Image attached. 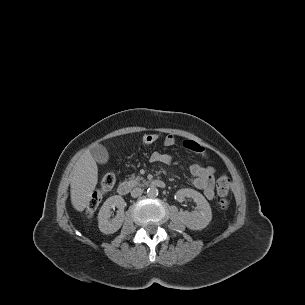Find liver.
<instances>
[{"label":"liver","mask_w":305,"mask_h":305,"mask_svg":"<svg viewBox=\"0 0 305 305\" xmlns=\"http://www.w3.org/2000/svg\"><path fill=\"white\" fill-rule=\"evenodd\" d=\"M71 202L81 212L91 200L98 182V167L95 159L87 149L83 151L70 173Z\"/></svg>","instance_id":"6515ba94"}]
</instances>
